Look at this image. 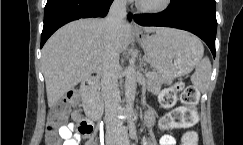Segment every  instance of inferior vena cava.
<instances>
[{"label": "inferior vena cava", "instance_id": "inferior-vena-cava-1", "mask_svg": "<svg viewBox=\"0 0 243 145\" xmlns=\"http://www.w3.org/2000/svg\"><path fill=\"white\" fill-rule=\"evenodd\" d=\"M126 18V0H114L105 19L108 44L102 61L101 86L105 100V113L108 122L114 119V113L120 103L118 89L119 50L118 38Z\"/></svg>", "mask_w": 243, "mask_h": 145}]
</instances>
